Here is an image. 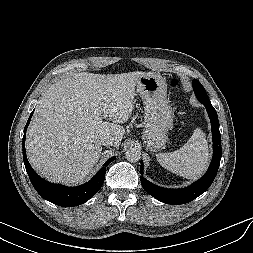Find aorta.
I'll use <instances>...</instances> for the list:
<instances>
[{
    "label": "aorta",
    "mask_w": 253,
    "mask_h": 253,
    "mask_svg": "<svg viewBox=\"0 0 253 253\" xmlns=\"http://www.w3.org/2000/svg\"><path fill=\"white\" fill-rule=\"evenodd\" d=\"M141 158V152L138 148H129L126 151V159L131 162V163H135L137 161H139Z\"/></svg>",
    "instance_id": "aorta-1"
}]
</instances>
